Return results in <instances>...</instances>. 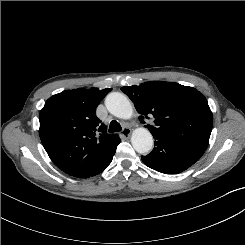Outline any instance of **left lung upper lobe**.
Segmentation results:
<instances>
[{"mask_svg": "<svg viewBox=\"0 0 245 245\" xmlns=\"http://www.w3.org/2000/svg\"><path fill=\"white\" fill-rule=\"evenodd\" d=\"M145 118L153 115V136L183 140L207 148L213 126L206 98L195 88L174 82L150 81L121 88ZM142 116L140 118L142 119Z\"/></svg>", "mask_w": 245, "mask_h": 245, "instance_id": "obj_1", "label": "left lung upper lobe"}]
</instances>
